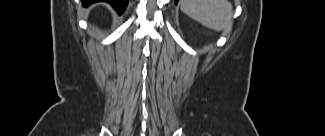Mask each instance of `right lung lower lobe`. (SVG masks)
Listing matches in <instances>:
<instances>
[{
  "mask_svg": "<svg viewBox=\"0 0 325 136\" xmlns=\"http://www.w3.org/2000/svg\"><path fill=\"white\" fill-rule=\"evenodd\" d=\"M108 2L112 5V7L118 12V14H122L128 5V0H83V4L85 6L90 5L94 2Z\"/></svg>",
  "mask_w": 325,
  "mask_h": 136,
  "instance_id": "obj_1",
  "label": "right lung lower lobe"
}]
</instances>
